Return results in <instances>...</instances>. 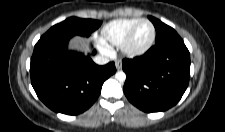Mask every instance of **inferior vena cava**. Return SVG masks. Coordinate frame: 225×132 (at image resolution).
Listing matches in <instances>:
<instances>
[{"instance_id": "1", "label": "inferior vena cava", "mask_w": 225, "mask_h": 132, "mask_svg": "<svg viewBox=\"0 0 225 132\" xmlns=\"http://www.w3.org/2000/svg\"><path fill=\"white\" fill-rule=\"evenodd\" d=\"M93 61H94L96 64H98V65H105V64H107L110 60H109V58L106 57V56H100V55H98V56H95V57L93 58Z\"/></svg>"}]
</instances>
